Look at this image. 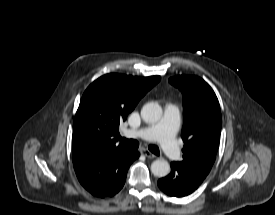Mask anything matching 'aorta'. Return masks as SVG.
I'll return each instance as SVG.
<instances>
[{"label": "aorta", "mask_w": 275, "mask_h": 215, "mask_svg": "<svg viewBox=\"0 0 275 215\" xmlns=\"http://www.w3.org/2000/svg\"><path fill=\"white\" fill-rule=\"evenodd\" d=\"M162 108L158 103H146L141 109L142 119L147 123H156L162 117ZM151 172L157 177H165L170 172V164L164 159H157L151 164Z\"/></svg>", "instance_id": "obj_1"}]
</instances>
